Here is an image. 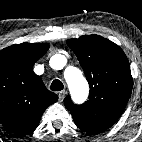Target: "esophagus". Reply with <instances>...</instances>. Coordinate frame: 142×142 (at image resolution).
<instances>
[{"label": "esophagus", "instance_id": "obj_1", "mask_svg": "<svg viewBox=\"0 0 142 142\" xmlns=\"http://www.w3.org/2000/svg\"><path fill=\"white\" fill-rule=\"evenodd\" d=\"M66 95V91L65 90H62L58 93V98H59V101L62 102L64 97Z\"/></svg>", "mask_w": 142, "mask_h": 142}]
</instances>
